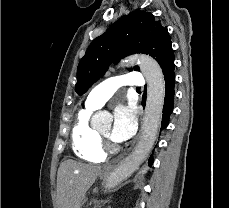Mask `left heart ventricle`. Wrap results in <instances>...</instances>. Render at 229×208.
<instances>
[{"label":"left heart ventricle","instance_id":"b2bd125f","mask_svg":"<svg viewBox=\"0 0 229 208\" xmlns=\"http://www.w3.org/2000/svg\"><path fill=\"white\" fill-rule=\"evenodd\" d=\"M103 135L105 136H110L111 135V127L110 125L105 127L102 131H100Z\"/></svg>","mask_w":229,"mask_h":208}]
</instances>
